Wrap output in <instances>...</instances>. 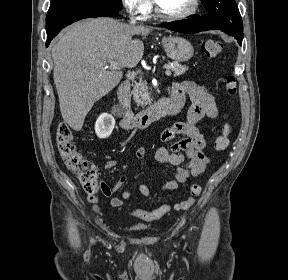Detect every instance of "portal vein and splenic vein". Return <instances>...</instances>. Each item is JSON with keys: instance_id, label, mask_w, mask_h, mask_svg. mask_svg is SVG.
Segmentation results:
<instances>
[{"instance_id": "1", "label": "portal vein and splenic vein", "mask_w": 288, "mask_h": 280, "mask_svg": "<svg viewBox=\"0 0 288 280\" xmlns=\"http://www.w3.org/2000/svg\"><path fill=\"white\" fill-rule=\"evenodd\" d=\"M110 63H111V66L113 67V69H120L119 63L114 62V61H111ZM164 68L166 69L165 74L167 76H170L171 75V71H170L169 67L164 66Z\"/></svg>"}]
</instances>
